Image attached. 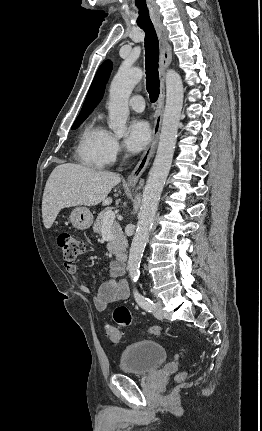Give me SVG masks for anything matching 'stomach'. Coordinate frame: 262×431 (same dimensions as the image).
Listing matches in <instances>:
<instances>
[{
	"instance_id": "obj_1",
	"label": "stomach",
	"mask_w": 262,
	"mask_h": 431,
	"mask_svg": "<svg viewBox=\"0 0 262 431\" xmlns=\"http://www.w3.org/2000/svg\"><path fill=\"white\" fill-rule=\"evenodd\" d=\"M70 221L75 228L85 230L92 225L93 216L88 208L77 207L71 212Z\"/></svg>"
}]
</instances>
